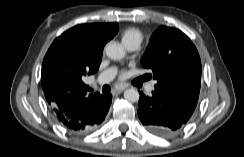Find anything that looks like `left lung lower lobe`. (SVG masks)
I'll list each match as a JSON object with an SVG mask.
<instances>
[{
	"label": "left lung lower lobe",
	"mask_w": 244,
	"mask_h": 157,
	"mask_svg": "<svg viewBox=\"0 0 244 157\" xmlns=\"http://www.w3.org/2000/svg\"><path fill=\"white\" fill-rule=\"evenodd\" d=\"M138 116L149 132L164 138L178 134L190 119L157 91L140 93Z\"/></svg>",
	"instance_id": "left-lung-lower-lobe-1"
}]
</instances>
